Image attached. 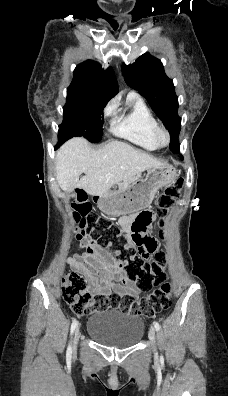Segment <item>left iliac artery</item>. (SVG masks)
Here are the masks:
<instances>
[{
  "instance_id": "left-iliac-artery-1",
  "label": "left iliac artery",
  "mask_w": 228,
  "mask_h": 396,
  "mask_svg": "<svg viewBox=\"0 0 228 396\" xmlns=\"http://www.w3.org/2000/svg\"><path fill=\"white\" fill-rule=\"evenodd\" d=\"M153 324H154L155 329L158 331L160 329L159 323L157 321H154Z\"/></svg>"
}]
</instances>
